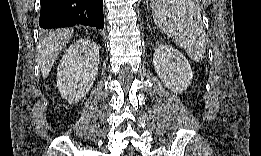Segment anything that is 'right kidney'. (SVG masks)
Returning a JSON list of instances; mask_svg holds the SVG:
<instances>
[{
  "label": "right kidney",
  "instance_id": "obj_1",
  "mask_svg": "<svg viewBox=\"0 0 261 156\" xmlns=\"http://www.w3.org/2000/svg\"><path fill=\"white\" fill-rule=\"evenodd\" d=\"M99 48L88 38L74 42L57 69V87L69 103L78 102L92 87L98 73Z\"/></svg>",
  "mask_w": 261,
  "mask_h": 156
}]
</instances>
